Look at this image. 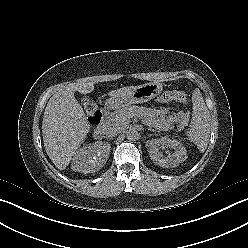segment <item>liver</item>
Listing matches in <instances>:
<instances>
[{
  "label": "liver",
  "mask_w": 248,
  "mask_h": 248,
  "mask_svg": "<svg viewBox=\"0 0 248 248\" xmlns=\"http://www.w3.org/2000/svg\"><path fill=\"white\" fill-rule=\"evenodd\" d=\"M135 87H123L110 91L108 95H123ZM93 90V83H72L56 92L46 105L42 121L44 147L51 161L60 170L66 169L90 131V124L74 93L78 91L87 94Z\"/></svg>",
  "instance_id": "liver-1"
}]
</instances>
